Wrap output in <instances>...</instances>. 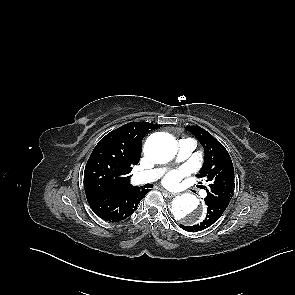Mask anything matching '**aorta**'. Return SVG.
<instances>
[{"label": "aorta", "instance_id": "1", "mask_svg": "<svg viewBox=\"0 0 295 295\" xmlns=\"http://www.w3.org/2000/svg\"><path fill=\"white\" fill-rule=\"evenodd\" d=\"M144 153L151 161L163 164L174 158L177 153V143L168 133L157 132L147 138ZM198 206L199 200L195 195L182 194L173 199L171 213L175 220L195 225L200 223L203 218L201 213H196Z\"/></svg>", "mask_w": 295, "mask_h": 295}]
</instances>
